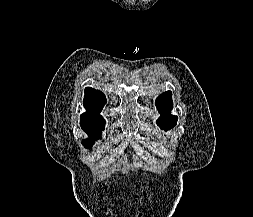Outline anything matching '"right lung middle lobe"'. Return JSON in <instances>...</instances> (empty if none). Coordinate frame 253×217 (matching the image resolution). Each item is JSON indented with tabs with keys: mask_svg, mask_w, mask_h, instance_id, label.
Here are the masks:
<instances>
[{
	"mask_svg": "<svg viewBox=\"0 0 253 217\" xmlns=\"http://www.w3.org/2000/svg\"><path fill=\"white\" fill-rule=\"evenodd\" d=\"M105 124H85L81 123V128L90 139L83 140L82 144L86 148H91L93 145V140H96L100 137L102 131L104 130Z\"/></svg>",
	"mask_w": 253,
	"mask_h": 217,
	"instance_id": "obj_1",
	"label": "right lung middle lobe"
}]
</instances>
